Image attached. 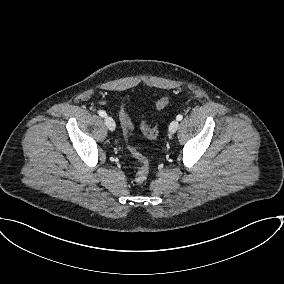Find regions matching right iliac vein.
Wrapping results in <instances>:
<instances>
[{"instance_id": "63e3f726", "label": "right iliac vein", "mask_w": 284, "mask_h": 284, "mask_svg": "<svg viewBox=\"0 0 284 284\" xmlns=\"http://www.w3.org/2000/svg\"><path fill=\"white\" fill-rule=\"evenodd\" d=\"M105 124L107 126V128L110 130V131H114L115 128H116V124H115V121L113 120L112 117L110 116H106L105 119Z\"/></svg>"}]
</instances>
